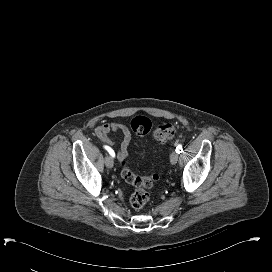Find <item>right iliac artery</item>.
I'll use <instances>...</instances> for the list:
<instances>
[{
    "mask_svg": "<svg viewBox=\"0 0 272 272\" xmlns=\"http://www.w3.org/2000/svg\"><path fill=\"white\" fill-rule=\"evenodd\" d=\"M104 148L109 152V154H110L112 157H115V153H114V151H113L110 147L104 146Z\"/></svg>",
    "mask_w": 272,
    "mask_h": 272,
    "instance_id": "obj_1",
    "label": "right iliac artery"
}]
</instances>
